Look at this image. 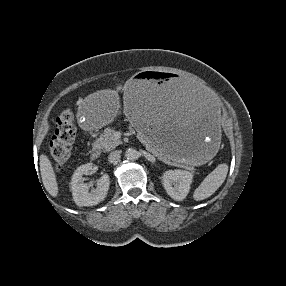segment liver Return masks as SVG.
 <instances>
[{
    "label": "liver",
    "instance_id": "liver-1",
    "mask_svg": "<svg viewBox=\"0 0 286 286\" xmlns=\"http://www.w3.org/2000/svg\"><path fill=\"white\" fill-rule=\"evenodd\" d=\"M121 89V87H117L116 90L107 91V96L115 97L117 98L118 90ZM126 90V86L124 87V91ZM40 172H41V178L43 185L46 189V191L53 197H56L58 195V184L56 181V175L52 167V163L49 160V158L42 154L40 156Z\"/></svg>",
    "mask_w": 286,
    "mask_h": 286
}]
</instances>
